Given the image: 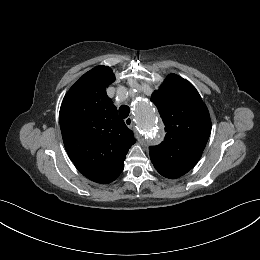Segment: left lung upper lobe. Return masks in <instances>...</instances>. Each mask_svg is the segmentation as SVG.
Returning <instances> with one entry per match:
<instances>
[{"instance_id":"5c2ea615","label":"left lung upper lobe","mask_w":260,"mask_h":260,"mask_svg":"<svg viewBox=\"0 0 260 260\" xmlns=\"http://www.w3.org/2000/svg\"><path fill=\"white\" fill-rule=\"evenodd\" d=\"M156 105L165 125L166 136L150 147V159L164 177L176 179L199 161L211 133L208 109L195 87L176 74H170L154 91Z\"/></svg>"}]
</instances>
